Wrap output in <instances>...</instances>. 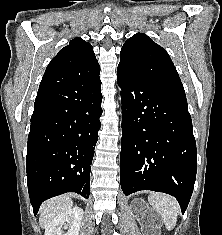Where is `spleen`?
<instances>
[{"label": "spleen", "instance_id": "spleen-1", "mask_svg": "<svg viewBox=\"0 0 222 235\" xmlns=\"http://www.w3.org/2000/svg\"><path fill=\"white\" fill-rule=\"evenodd\" d=\"M148 201L153 209L161 216L167 230H172L177 222L180 206L175 198L167 194L152 192Z\"/></svg>", "mask_w": 222, "mask_h": 235}]
</instances>
